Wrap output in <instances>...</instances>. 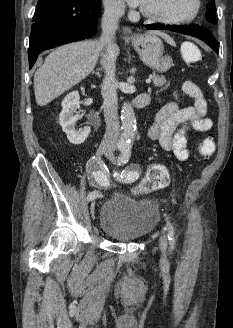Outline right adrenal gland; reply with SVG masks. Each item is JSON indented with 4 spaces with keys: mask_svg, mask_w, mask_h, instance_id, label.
<instances>
[{
    "mask_svg": "<svg viewBox=\"0 0 233 328\" xmlns=\"http://www.w3.org/2000/svg\"><path fill=\"white\" fill-rule=\"evenodd\" d=\"M92 74H95L99 78L102 76V74L99 71L97 72L93 71Z\"/></svg>",
    "mask_w": 233,
    "mask_h": 328,
    "instance_id": "obj_1",
    "label": "right adrenal gland"
}]
</instances>
